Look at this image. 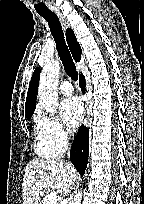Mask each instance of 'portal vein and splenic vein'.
I'll use <instances>...</instances> for the list:
<instances>
[{
  "mask_svg": "<svg viewBox=\"0 0 144 204\" xmlns=\"http://www.w3.org/2000/svg\"><path fill=\"white\" fill-rule=\"evenodd\" d=\"M57 193L51 192L45 197V204H57Z\"/></svg>",
  "mask_w": 144,
  "mask_h": 204,
  "instance_id": "1",
  "label": "portal vein and splenic vein"
}]
</instances>
